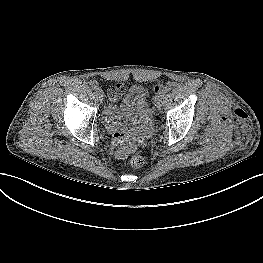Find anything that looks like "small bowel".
<instances>
[{"mask_svg": "<svg viewBox=\"0 0 263 263\" xmlns=\"http://www.w3.org/2000/svg\"><path fill=\"white\" fill-rule=\"evenodd\" d=\"M126 77H127V75H122V76H121L122 79H125ZM137 90H141V89L137 87ZM125 142H128V141H127V138H125Z\"/></svg>", "mask_w": 263, "mask_h": 263, "instance_id": "obj_1", "label": "small bowel"}]
</instances>
